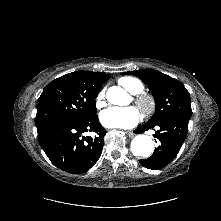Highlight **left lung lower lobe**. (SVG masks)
Instances as JSON below:
<instances>
[{
  "mask_svg": "<svg viewBox=\"0 0 221 221\" xmlns=\"http://www.w3.org/2000/svg\"><path fill=\"white\" fill-rule=\"evenodd\" d=\"M189 119L170 118L157 124L140 126L134 133H143L152 128H158L155 132L160 145L155 148L148 159L140 160L142 166L152 170L162 169L167 166L178 154L188 132ZM155 130V129H154Z\"/></svg>",
  "mask_w": 221,
  "mask_h": 221,
  "instance_id": "left-lung-lower-lobe-1",
  "label": "left lung lower lobe"
}]
</instances>
